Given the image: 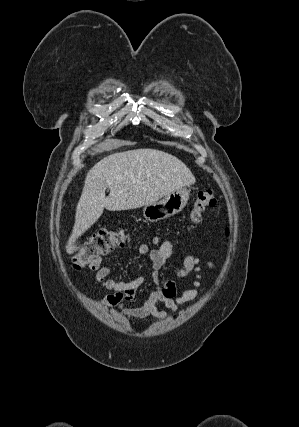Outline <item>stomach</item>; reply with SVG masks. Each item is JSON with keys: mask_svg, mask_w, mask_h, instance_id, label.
<instances>
[{"mask_svg": "<svg viewBox=\"0 0 299 427\" xmlns=\"http://www.w3.org/2000/svg\"><path fill=\"white\" fill-rule=\"evenodd\" d=\"M189 199V191L185 188H179L163 200L148 204L143 209V216L149 222H156L174 216L181 212Z\"/></svg>", "mask_w": 299, "mask_h": 427, "instance_id": "stomach-1", "label": "stomach"}]
</instances>
